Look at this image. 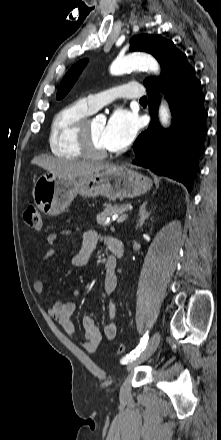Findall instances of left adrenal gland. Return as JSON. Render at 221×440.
Wrapping results in <instances>:
<instances>
[{"instance_id": "a2214340", "label": "left adrenal gland", "mask_w": 221, "mask_h": 440, "mask_svg": "<svg viewBox=\"0 0 221 440\" xmlns=\"http://www.w3.org/2000/svg\"><path fill=\"white\" fill-rule=\"evenodd\" d=\"M146 205H147V201L144 202L140 206V209H139V216H140V218L138 220L137 227H142V225L144 224L145 220L150 216L151 211L148 212L146 210Z\"/></svg>"}]
</instances>
